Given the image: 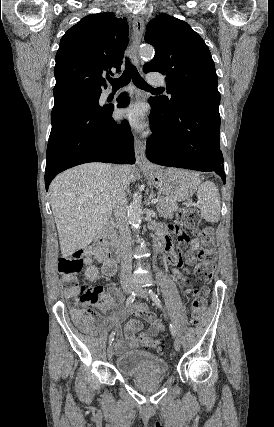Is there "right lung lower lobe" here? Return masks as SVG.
I'll return each mask as SVG.
<instances>
[{
    "mask_svg": "<svg viewBox=\"0 0 274 427\" xmlns=\"http://www.w3.org/2000/svg\"><path fill=\"white\" fill-rule=\"evenodd\" d=\"M128 103L126 96L117 107ZM114 106L82 104L51 116L45 186L60 172L87 162L135 163L133 136L126 121L112 118Z\"/></svg>",
    "mask_w": 274,
    "mask_h": 427,
    "instance_id": "right-lung-lower-lobe-1",
    "label": "right lung lower lobe"
}]
</instances>
